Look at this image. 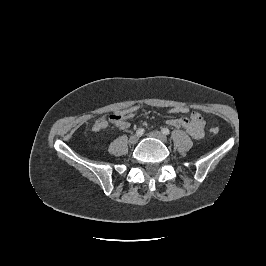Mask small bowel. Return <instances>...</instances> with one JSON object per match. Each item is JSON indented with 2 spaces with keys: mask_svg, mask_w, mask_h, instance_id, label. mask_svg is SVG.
<instances>
[{
  "mask_svg": "<svg viewBox=\"0 0 266 266\" xmlns=\"http://www.w3.org/2000/svg\"><path fill=\"white\" fill-rule=\"evenodd\" d=\"M169 126L175 128H184L188 134L194 139H201L204 136V126L205 121L203 120L202 116L197 112H192L189 117H184L180 119H169L167 121ZM108 125V122L105 117L98 118L94 125L93 131L100 132L104 130ZM130 126L128 120L122 121L117 124V127L125 130Z\"/></svg>",
  "mask_w": 266,
  "mask_h": 266,
  "instance_id": "small-bowel-1",
  "label": "small bowel"
}]
</instances>
